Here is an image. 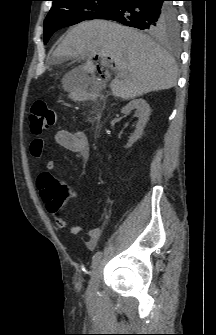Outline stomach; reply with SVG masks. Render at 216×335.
<instances>
[{"mask_svg": "<svg viewBox=\"0 0 216 335\" xmlns=\"http://www.w3.org/2000/svg\"><path fill=\"white\" fill-rule=\"evenodd\" d=\"M69 91H70L69 97L72 98L73 100H78L83 96V93L80 90L70 89Z\"/></svg>", "mask_w": 216, "mask_h": 335, "instance_id": "0dacf381", "label": "stomach"}]
</instances>
